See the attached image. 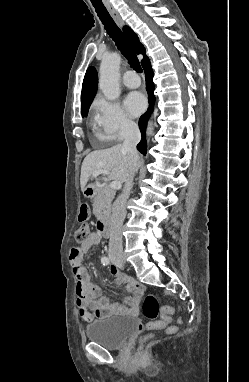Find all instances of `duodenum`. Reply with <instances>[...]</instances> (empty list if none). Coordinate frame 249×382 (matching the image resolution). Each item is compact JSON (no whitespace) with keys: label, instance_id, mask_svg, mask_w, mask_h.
<instances>
[{"label":"duodenum","instance_id":"1","mask_svg":"<svg viewBox=\"0 0 249 382\" xmlns=\"http://www.w3.org/2000/svg\"><path fill=\"white\" fill-rule=\"evenodd\" d=\"M92 188L95 189V187L92 185ZM98 231L100 234H102L105 238H110L112 234L111 230V224L107 219H100L97 223Z\"/></svg>","mask_w":249,"mask_h":382}]
</instances>
